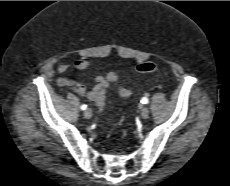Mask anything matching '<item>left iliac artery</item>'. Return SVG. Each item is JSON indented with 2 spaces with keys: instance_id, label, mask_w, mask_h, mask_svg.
Returning a JSON list of instances; mask_svg holds the SVG:
<instances>
[{
  "instance_id": "44dca946",
  "label": "left iliac artery",
  "mask_w": 230,
  "mask_h": 186,
  "mask_svg": "<svg viewBox=\"0 0 230 186\" xmlns=\"http://www.w3.org/2000/svg\"><path fill=\"white\" fill-rule=\"evenodd\" d=\"M141 102L144 103V104H148L149 100L146 97H143Z\"/></svg>"
}]
</instances>
